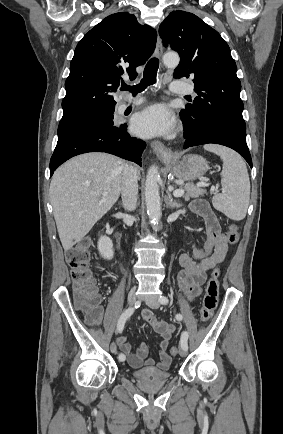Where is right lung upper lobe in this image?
Here are the masks:
<instances>
[{
	"label": "right lung upper lobe",
	"instance_id": "1",
	"mask_svg": "<svg viewBox=\"0 0 283 434\" xmlns=\"http://www.w3.org/2000/svg\"><path fill=\"white\" fill-rule=\"evenodd\" d=\"M157 34L127 12L109 15L78 43L65 82L63 117H81L115 109L112 93L124 73L135 79L155 49Z\"/></svg>",
	"mask_w": 283,
	"mask_h": 434
}]
</instances>
